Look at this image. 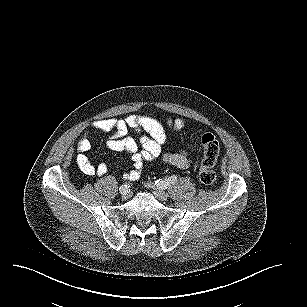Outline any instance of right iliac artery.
Returning a JSON list of instances; mask_svg holds the SVG:
<instances>
[{"label":"right iliac artery","instance_id":"obj_1","mask_svg":"<svg viewBox=\"0 0 307 307\" xmlns=\"http://www.w3.org/2000/svg\"><path fill=\"white\" fill-rule=\"evenodd\" d=\"M124 187H126V185H124V186L122 185L120 188H122V189L124 190ZM120 188H119V189H120Z\"/></svg>","mask_w":307,"mask_h":307}]
</instances>
